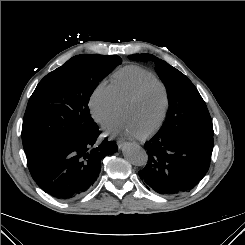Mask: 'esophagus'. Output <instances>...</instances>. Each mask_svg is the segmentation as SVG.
Here are the masks:
<instances>
[{
  "label": "esophagus",
  "mask_w": 245,
  "mask_h": 245,
  "mask_svg": "<svg viewBox=\"0 0 245 245\" xmlns=\"http://www.w3.org/2000/svg\"><path fill=\"white\" fill-rule=\"evenodd\" d=\"M125 144V141L122 139L117 140V145L119 148H121Z\"/></svg>",
  "instance_id": "esophagus-1"
}]
</instances>
